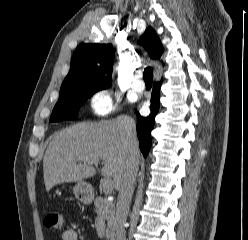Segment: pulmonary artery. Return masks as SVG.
I'll return each mask as SVG.
<instances>
[{
    "label": "pulmonary artery",
    "mask_w": 248,
    "mask_h": 240,
    "mask_svg": "<svg viewBox=\"0 0 248 240\" xmlns=\"http://www.w3.org/2000/svg\"><path fill=\"white\" fill-rule=\"evenodd\" d=\"M144 87L145 85L142 80V74L140 72H137L132 82V89L137 92H142L144 90Z\"/></svg>",
    "instance_id": "e3ab8cb5"
}]
</instances>
